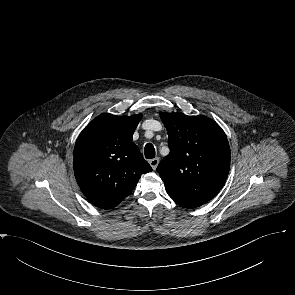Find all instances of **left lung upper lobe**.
<instances>
[{"mask_svg": "<svg viewBox=\"0 0 295 295\" xmlns=\"http://www.w3.org/2000/svg\"><path fill=\"white\" fill-rule=\"evenodd\" d=\"M170 153L157 171L168 195L180 206L196 208L214 198L230 167V147L224 131L203 115L161 112Z\"/></svg>", "mask_w": 295, "mask_h": 295, "instance_id": "5c2ea615", "label": "left lung upper lobe"}]
</instances>
